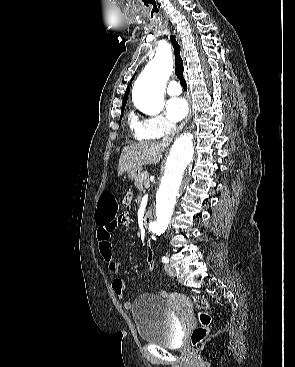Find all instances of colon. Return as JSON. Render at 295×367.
<instances>
[{
    "label": "colon",
    "instance_id": "obj_1",
    "mask_svg": "<svg viewBox=\"0 0 295 367\" xmlns=\"http://www.w3.org/2000/svg\"><path fill=\"white\" fill-rule=\"evenodd\" d=\"M124 205L127 201H123ZM118 203L115 196L111 192H104L100 199L97 210L96 219L100 222H108L113 219L118 218ZM149 243L148 241L146 242ZM147 261L150 269H155V264H153V251L149 247L147 250ZM195 306L201 311L200 313V325L195 328L191 334V342L193 345H199L207 336L209 324L211 322V317L207 313L210 308L209 302L203 296H195L193 298Z\"/></svg>",
    "mask_w": 295,
    "mask_h": 367
}]
</instances>
